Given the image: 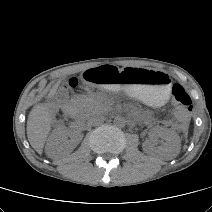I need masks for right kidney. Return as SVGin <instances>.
<instances>
[{"instance_id":"right-kidney-1","label":"right kidney","mask_w":212,"mask_h":212,"mask_svg":"<svg viewBox=\"0 0 212 212\" xmlns=\"http://www.w3.org/2000/svg\"><path fill=\"white\" fill-rule=\"evenodd\" d=\"M82 138L83 135L79 131H70L64 126L58 125L48 139L45 147L46 155L52 159H56L62 155L69 154L79 144Z\"/></svg>"}]
</instances>
